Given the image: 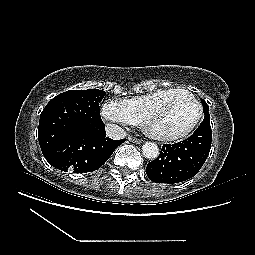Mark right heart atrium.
Wrapping results in <instances>:
<instances>
[{
    "mask_svg": "<svg viewBox=\"0 0 255 255\" xmlns=\"http://www.w3.org/2000/svg\"><path fill=\"white\" fill-rule=\"evenodd\" d=\"M102 115L110 123L123 126L138 124L124 100L108 99L102 106Z\"/></svg>",
    "mask_w": 255,
    "mask_h": 255,
    "instance_id": "1",
    "label": "right heart atrium"
}]
</instances>
